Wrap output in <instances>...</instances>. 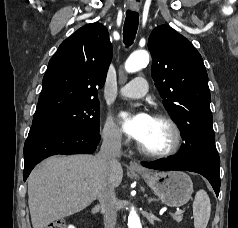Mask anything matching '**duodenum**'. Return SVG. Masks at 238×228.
I'll list each match as a JSON object with an SVG mask.
<instances>
[{"mask_svg":"<svg viewBox=\"0 0 238 228\" xmlns=\"http://www.w3.org/2000/svg\"><path fill=\"white\" fill-rule=\"evenodd\" d=\"M99 211V207H95L94 209H93V212L94 213H96V212H98Z\"/></svg>","mask_w":238,"mask_h":228,"instance_id":"410a0bca","label":"duodenum"}]
</instances>
